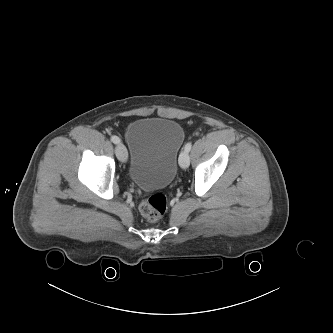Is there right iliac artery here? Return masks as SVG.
<instances>
[{
    "mask_svg": "<svg viewBox=\"0 0 333 333\" xmlns=\"http://www.w3.org/2000/svg\"><path fill=\"white\" fill-rule=\"evenodd\" d=\"M111 141L113 142V143H115V144H118V143H120L121 142V140H120V138L119 137H117V136H111Z\"/></svg>",
    "mask_w": 333,
    "mask_h": 333,
    "instance_id": "1",
    "label": "right iliac artery"
}]
</instances>
